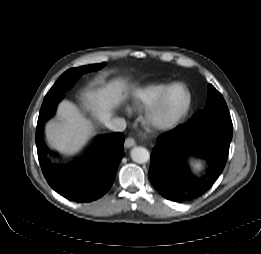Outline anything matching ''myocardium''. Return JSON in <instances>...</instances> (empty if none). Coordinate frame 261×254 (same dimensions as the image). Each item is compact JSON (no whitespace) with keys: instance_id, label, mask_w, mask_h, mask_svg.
I'll return each instance as SVG.
<instances>
[{"instance_id":"obj_1","label":"myocardium","mask_w":261,"mask_h":254,"mask_svg":"<svg viewBox=\"0 0 261 254\" xmlns=\"http://www.w3.org/2000/svg\"><path fill=\"white\" fill-rule=\"evenodd\" d=\"M181 88L186 92L187 99L180 111L174 115H166L164 112V104L169 93ZM192 104V94L190 89L184 83H174L169 85L162 93L156 103L150 107L144 115V125L148 131L152 133H165L173 130L184 119Z\"/></svg>"}]
</instances>
